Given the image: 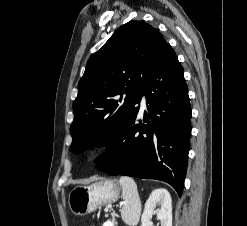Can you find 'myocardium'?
Masks as SVG:
<instances>
[{
    "instance_id": "obj_1",
    "label": "myocardium",
    "mask_w": 247,
    "mask_h": 226,
    "mask_svg": "<svg viewBox=\"0 0 247 226\" xmlns=\"http://www.w3.org/2000/svg\"><path fill=\"white\" fill-rule=\"evenodd\" d=\"M104 151V144L100 141H95L89 145V147L86 150V159L89 162H94L97 160Z\"/></svg>"
}]
</instances>
